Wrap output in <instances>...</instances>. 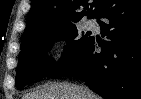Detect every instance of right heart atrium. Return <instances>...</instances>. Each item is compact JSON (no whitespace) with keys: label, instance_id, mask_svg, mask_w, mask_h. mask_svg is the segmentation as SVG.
Wrapping results in <instances>:
<instances>
[{"label":"right heart atrium","instance_id":"1","mask_svg":"<svg viewBox=\"0 0 141 99\" xmlns=\"http://www.w3.org/2000/svg\"><path fill=\"white\" fill-rule=\"evenodd\" d=\"M70 45L65 41H59L54 47V55L56 62L60 66H64L68 63L70 58Z\"/></svg>","mask_w":141,"mask_h":99}]
</instances>
